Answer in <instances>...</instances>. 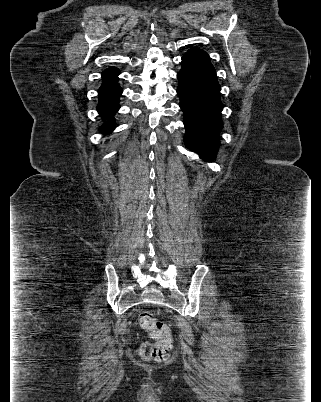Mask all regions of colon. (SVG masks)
Instances as JSON below:
<instances>
[{
  "instance_id": "obj_1",
  "label": "colon",
  "mask_w": 321,
  "mask_h": 402,
  "mask_svg": "<svg viewBox=\"0 0 321 402\" xmlns=\"http://www.w3.org/2000/svg\"><path fill=\"white\" fill-rule=\"evenodd\" d=\"M140 327L157 342H144L140 348V355L147 360L164 361L170 356L172 346L170 330L160 323L151 312L144 311L138 316Z\"/></svg>"
}]
</instances>
